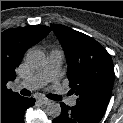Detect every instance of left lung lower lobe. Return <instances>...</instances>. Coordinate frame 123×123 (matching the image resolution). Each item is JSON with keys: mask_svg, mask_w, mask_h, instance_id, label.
<instances>
[{"mask_svg": "<svg viewBox=\"0 0 123 123\" xmlns=\"http://www.w3.org/2000/svg\"><path fill=\"white\" fill-rule=\"evenodd\" d=\"M61 105V114L52 123H99L102 116L86 112L76 106L69 107L64 103Z\"/></svg>", "mask_w": 123, "mask_h": 123, "instance_id": "left-lung-lower-lobe-1", "label": "left lung lower lobe"}]
</instances>
